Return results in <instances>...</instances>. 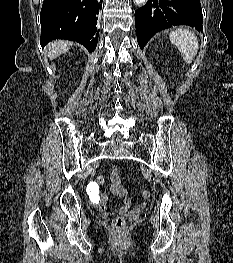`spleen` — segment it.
I'll return each instance as SVG.
<instances>
[{"label":"spleen","instance_id":"obj_1","mask_svg":"<svg viewBox=\"0 0 233 263\" xmlns=\"http://www.w3.org/2000/svg\"><path fill=\"white\" fill-rule=\"evenodd\" d=\"M169 38L171 43L180 51L184 61L191 64L199 48L196 35L187 29H178L172 31Z\"/></svg>","mask_w":233,"mask_h":263}]
</instances>
